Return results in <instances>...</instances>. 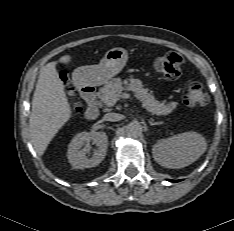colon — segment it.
<instances>
[{
    "instance_id": "colon-1",
    "label": "colon",
    "mask_w": 234,
    "mask_h": 231,
    "mask_svg": "<svg viewBox=\"0 0 234 231\" xmlns=\"http://www.w3.org/2000/svg\"><path fill=\"white\" fill-rule=\"evenodd\" d=\"M182 58L174 52L165 53L153 60V68L162 73L168 79L175 80L181 74ZM71 109L74 114L81 112V105L76 99V93L73 89L67 90ZM208 103V97L198 83L189 85L188 91L184 97V104L189 108H201Z\"/></svg>"
}]
</instances>
